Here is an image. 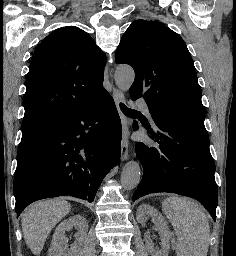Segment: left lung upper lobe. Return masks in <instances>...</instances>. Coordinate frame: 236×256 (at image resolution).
Wrapping results in <instances>:
<instances>
[{
	"label": "left lung upper lobe",
	"instance_id": "1",
	"mask_svg": "<svg viewBox=\"0 0 236 256\" xmlns=\"http://www.w3.org/2000/svg\"><path fill=\"white\" fill-rule=\"evenodd\" d=\"M115 60L132 66L131 97H143L151 114L206 130L195 66L178 34L161 22L136 20L122 36Z\"/></svg>",
	"mask_w": 236,
	"mask_h": 256
}]
</instances>
